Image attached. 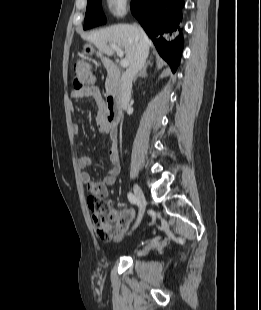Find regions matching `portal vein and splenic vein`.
I'll return each instance as SVG.
<instances>
[{
	"label": "portal vein and splenic vein",
	"mask_w": 261,
	"mask_h": 310,
	"mask_svg": "<svg viewBox=\"0 0 261 310\" xmlns=\"http://www.w3.org/2000/svg\"><path fill=\"white\" fill-rule=\"evenodd\" d=\"M110 48L113 49L117 55L120 57V65L122 67H128L129 65V61L127 59H124L123 56H124V53L122 51V49L116 45V44H113V43H110L109 44Z\"/></svg>",
	"instance_id": "18ae733b"
}]
</instances>
